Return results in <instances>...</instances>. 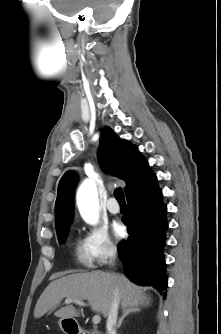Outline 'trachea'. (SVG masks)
<instances>
[{
  "label": "trachea",
  "instance_id": "1",
  "mask_svg": "<svg viewBox=\"0 0 221 334\" xmlns=\"http://www.w3.org/2000/svg\"><path fill=\"white\" fill-rule=\"evenodd\" d=\"M114 196L119 203H125V196H124L122 188H117L114 191Z\"/></svg>",
  "mask_w": 221,
  "mask_h": 334
}]
</instances>
